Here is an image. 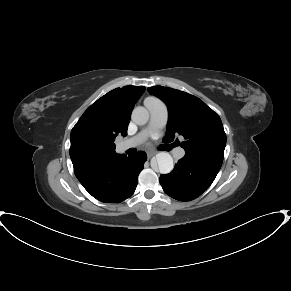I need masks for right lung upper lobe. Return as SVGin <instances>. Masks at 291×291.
Listing matches in <instances>:
<instances>
[{"instance_id": "right-lung-upper-lobe-1", "label": "right lung upper lobe", "mask_w": 291, "mask_h": 291, "mask_svg": "<svg viewBox=\"0 0 291 291\" xmlns=\"http://www.w3.org/2000/svg\"><path fill=\"white\" fill-rule=\"evenodd\" d=\"M143 86L116 88L94 102L71 131L70 157L73 166L111 159L117 135H127L135 103Z\"/></svg>"}]
</instances>
